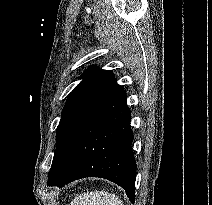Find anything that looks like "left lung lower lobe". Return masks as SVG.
I'll return each mask as SVG.
<instances>
[{"mask_svg": "<svg viewBox=\"0 0 212 205\" xmlns=\"http://www.w3.org/2000/svg\"><path fill=\"white\" fill-rule=\"evenodd\" d=\"M132 140L126 94L114 80L81 122L60 173L49 186L101 177L121 186L133 203L136 161Z\"/></svg>", "mask_w": 212, "mask_h": 205, "instance_id": "1", "label": "left lung lower lobe"}]
</instances>
